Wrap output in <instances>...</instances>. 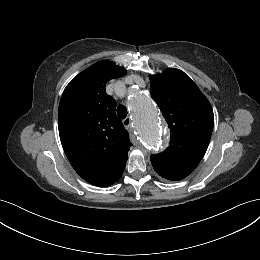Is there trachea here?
Returning a JSON list of instances; mask_svg holds the SVG:
<instances>
[{"instance_id":"trachea-1","label":"trachea","mask_w":260,"mask_h":260,"mask_svg":"<svg viewBox=\"0 0 260 260\" xmlns=\"http://www.w3.org/2000/svg\"><path fill=\"white\" fill-rule=\"evenodd\" d=\"M127 114V108L124 105H119L117 108V115L119 116V118L125 119Z\"/></svg>"}]
</instances>
